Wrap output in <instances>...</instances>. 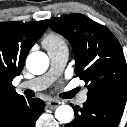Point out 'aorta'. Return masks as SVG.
<instances>
[{"label": "aorta", "instance_id": "aorta-1", "mask_svg": "<svg viewBox=\"0 0 127 127\" xmlns=\"http://www.w3.org/2000/svg\"><path fill=\"white\" fill-rule=\"evenodd\" d=\"M26 67L32 74H43L49 67V58L43 52H32L26 59ZM55 117L61 123H70L73 120L74 111L69 105H61L57 107Z\"/></svg>", "mask_w": 127, "mask_h": 127}]
</instances>
